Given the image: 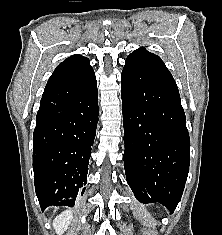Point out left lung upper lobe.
Returning <instances> with one entry per match:
<instances>
[{"label": "left lung upper lobe", "instance_id": "1", "mask_svg": "<svg viewBox=\"0 0 222 235\" xmlns=\"http://www.w3.org/2000/svg\"><path fill=\"white\" fill-rule=\"evenodd\" d=\"M127 59L140 60L170 73L161 58L153 53H150L145 48H139L138 50H135L127 57Z\"/></svg>", "mask_w": 222, "mask_h": 235}]
</instances>
